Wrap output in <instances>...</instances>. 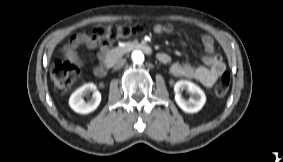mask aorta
Masks as SVG:
<instances>
[{
	"mask_svg": "<svg viewBox=\"0 0 283 162\" xmlns=\"http://www.w3.org/2000/svg\"><path fill=\"white\" fill-rule=\"evenodd\" d=\"M131 58L135 64H142L144 61V54L139 50H135L132 52Z\"/></svg>",
	"mask_w": 283,
	"mask_h": 162,
	"instance_id": "762f6f07",
	"label": "aorta"
}]
</instances>
